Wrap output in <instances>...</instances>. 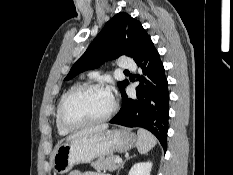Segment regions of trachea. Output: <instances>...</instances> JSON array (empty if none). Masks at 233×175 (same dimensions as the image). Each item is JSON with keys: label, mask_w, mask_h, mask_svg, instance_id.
<instances>
[{"label": "trachea", "mask_w": 233, "mask_h": 175, "mask_svg": "<svg viewBox=\"0 0 233 175\" xmlns=\"http://www.w3.org/2000/svg\"><path fill=\"white\" fill-rule=\"evenodd\" d=\"M124 72H129L128 70H125Z\"/></svg>", "instance_id": "trachea-1"}]
</instances>
